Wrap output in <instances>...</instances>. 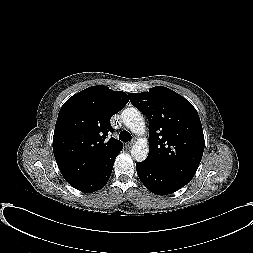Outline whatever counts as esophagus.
I'll return each instance as SVG.
<instances>
[{"instance_id":"obj_1","label":"esophagus","mask_w":253,"mask_h":253,"mask_svg":"<svg viewBox=\"0 0 253 253\" xmlns=\"http://www.w3.org/2000/svg\"><path fill=\"white\" fill-rule=\"evenodd\" d=\"M134 145V141H131V142H129V143H127V147H132Z\"/></svg>"}]
</instances>
